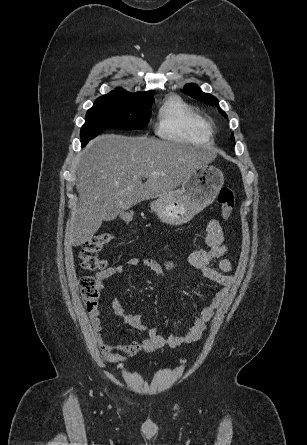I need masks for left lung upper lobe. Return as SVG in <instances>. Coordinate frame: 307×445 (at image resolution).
<instances>
[{
	"mask_svg": "<svg viewBox=\"0 0 307 445\" xmlns=\"http://www.w3.org/2000/svg\"><path fill=\"white\" fill-rule=\"evenodd\" d=\"M183 91L187 95H189V96H191V97H193V98H195L197 100H200V101H203V102H207V103H211V104H213L215 106L219 105L218 104V100L214 96H212L210 94H207V93H203L200 90V88L197 85H195V84H187L184 87ZM219 112L227 118V115L225 114L224 111L219 109Z\"/></svg>",
	"mask_w": 307,
	"mask_h": 445,
	"instance_id": "1",
	"label": "left lung upper lobe"
}]
</instances>
